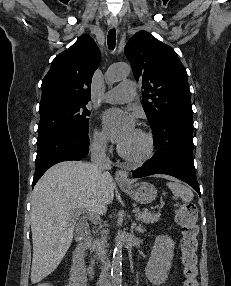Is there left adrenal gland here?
<instances>
[{"instance_id":"left-adrenal-gland-1","label":"left adrenal gland","mask_w":231,"mask_h":286,"mask_svg":"<svg viewBox=\"0 0 231 286\" xmlns=\"http://www.w3.org/2000/svg\"><path fill=\"white\" fill-rule=\"evenodd\" d=\"M133 227L135 228L136 231H138L139 233H143L145 231L144 227H142L141 225H136L135 222H133Z\"/></svg>"}]
</instances>
